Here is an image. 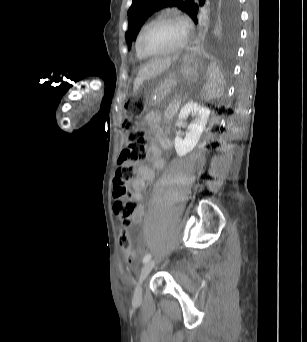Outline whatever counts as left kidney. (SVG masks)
<instances>
[{"mask_svg":"<svg viewBox=\"0 0 307 342\" xmlns=\"http://www.w3.org/2000/svg\"><path fill=\"white\" fill-rule=\"evenodd\" d=\"M188 116H192L195 118L191 124L188 126V132H186V136L184 140L180 138V136H176L174 140V146L176 150L177 156H186L189 152L194 150L195 146H197L200 136L205 130V126L208 122V118L210 116V110L208 108H203V106H199L196 102H188L185 104L183 108H181L179 112V120L183 122V120H187Z\"/></svg>","mask_w":307,"mask_h":342,"instance_id":"5707ae66","label":"left kidney"}]
</instances>
